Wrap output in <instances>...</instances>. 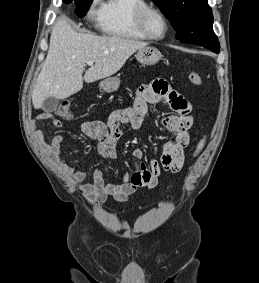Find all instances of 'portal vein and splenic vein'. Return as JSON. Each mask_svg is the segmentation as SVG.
Here are the masks:
<instances>
[{
	"label": "portal vein and splenic vein",
	"mask_w": 259,
	"mask_h": 283,
	"mask_svg": "<svg viewBox=\"0 0 259 283\" xmlns=\"http://www.w3.org/2000/svg\"><path fill=\"white\" fill-rule=\"evenodd\" d=\"M93 63H94V61H88L86 64H87L88 66H93Z\"/></svg>",
	"instance_id": "1"
}]
</instances>
